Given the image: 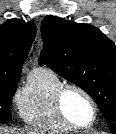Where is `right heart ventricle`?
<instances>
[{
    "label": "right heart ventricle",
    "instance_id": "1",
    "mask_svg": "<svg viewBox=\"0 0 116 134\" xmlns=\"http://www.w3.org/2000/svg\"><path fill=\"white\" fill-rule=\"evenodd\" d=\"M63 84L60 77L47 68H37L27 86L17 95V106L22 120L37 129L56 133H67L74 129L58 116L54 97Z\"/></svg>",
    "mask_w": 116,
    "mask_h": 134
}]
</instances>
